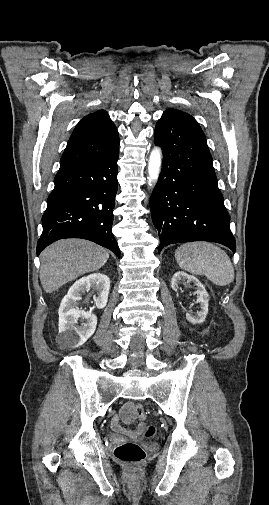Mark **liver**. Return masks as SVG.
Wrapping results in <instances>:
<instances>
[{"instance_id":"6515ba94","label":"liver","mask_w":269,"mask_h":505,"mask_svg":"<svg viewBox=\"0 0 269 505\" xmlns=\"http://www.w3.org/2000/svg\"><path fill=\"white\" fill-rule=\"evenodd\" d=\"M109 253L103 247L83 239H63L47 247L40 255V281L47 293L77 277L100 269Z\"/></svg>"}]
</instances>
